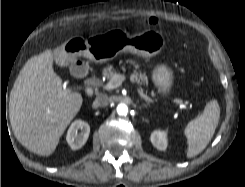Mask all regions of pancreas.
<instances>
[{"label":"pancreas","instance_id":"obj_1","mask_svg":"<svg viewBox=\"0 0 245 187\" xmlns=\"http://www.w3.org/2000/svg\"><path fill=\"white\" fill-rule=\"evenodd\" d=\"M135 67L138 68L137 65ZM102 72L105 78L109 81L112 79L113 75L116 74V70L112 65L105 67ZM131 79L132 81L138 83L147 82V76L143 73H138L136 70H134L133 74L131 75Z\"/></svg>","mask_w":245,"mask_h":187}]
</instances>
